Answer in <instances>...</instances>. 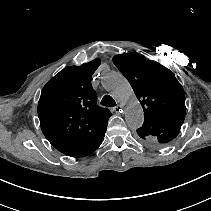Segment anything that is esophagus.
Listing matches in <instances>:
<instances>
[{
    "instance_id": "1",
    "label": "esophagus",
    "mask_w": 211,
    "mask_h": 211,
    "mask_svg": "<svg viewBox=\"0 0 211 211\" xmlns=\"http://www.w3.org/2000/svg\"><path fill=\"white\" fill-rule=\"evenodd\" d=\"M122 107L119 105V106H116V107H114L113 108V111L115 112V113H120V112H122Z\"/></svg>"
}]
</instances>
